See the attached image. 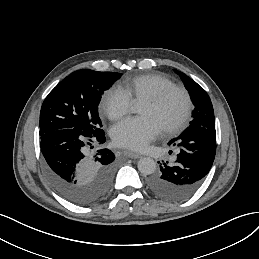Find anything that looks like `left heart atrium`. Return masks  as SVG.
<instances>
[{"mask_svg":"<svg viewBox=\"0 0 259 259\" xmlns=\"http://www.w3.org/2000/svg\"><path fill=\"white\" fill-rule=\"evenodd\" d=\"M161 130L160 125L151 117H133L114 124L110 134L116 145L142 150L158 137Z\"/></svg>","mask_w":259,"mask_h":259,"instance_id":"39dd6f15","label":"left heart atrium"}]
</instances>
